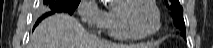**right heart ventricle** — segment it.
Returning <instances> with one entry per match:
<instances>
[{
  "label": "right heart ventricle",
  "mask_w": 213,
  "mask_h": 48,
  "mask_svg": "<svg viewBox=\"0 0 213 48\" xmlns=\"http://www.w3.org/2000/svg\"><path fill=\"white\" fill-rule=\"evenodd\" d=\"M124 1L105 12L103 31L112 39L121 41H135L141 38L131 34L123 25L119 13V7Z\"/></svg>",
  "instance_id": "obj_1"
}]
</instances>
